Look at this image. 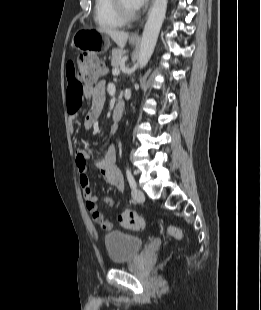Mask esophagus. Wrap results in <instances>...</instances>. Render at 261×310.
<instances>
[{
    "instance_id": "obj_1",
    "label": "esophagus",
    "mask_w": 261,
    "mask_h": 310,
    "mask_svg": "<svg viewBox=\"0 0 261 310\" xmlns=\"http://www.w3.org/2000/svg\"><path fill=\"white\" fill-rule=\"evenodd\" d=\"M152 4H153V2H152ZM141 26H142V25H141ZM131 39H133V40H138V39H140L139 30H138V31H135L134 33H132Z\"/></svg>"
}]
</instances>
